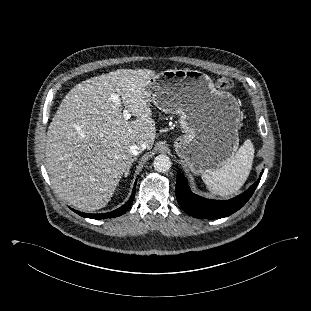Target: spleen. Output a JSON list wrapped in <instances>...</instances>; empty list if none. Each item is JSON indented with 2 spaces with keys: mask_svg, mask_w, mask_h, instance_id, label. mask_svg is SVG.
<instances>
[{
  "mask_svg": "<svg viewBox=\"0 0 311 311\" xmlns=\"http://www.w3.org/2000/svg\"><path fill=\"white\" fill-rule=\"evenodd\" d=\"M254 147L250 139L221 168L202 174V180L215 195L226 197L236 193L247 180L252 169Z\"/></svg>",
  "mask_w": 311,
  "mask_h": 311,
  "instance_id": "obj_1",
  "label": "spleen"
}]
</instances>
